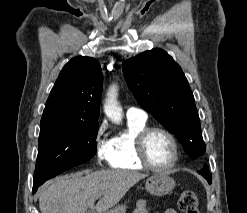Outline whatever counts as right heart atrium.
<instances>
[{
  "label": "right heart atrium",
  "mask_w": 247,
  "mask_h": 213,
  "mask_svg": "<svg viewBox=\"0 0 247 213\" xmlns=\"http://www.w3.org/2000/svg\"><path fill=\"white\" fill-rule=\"evenodd\" d=\"M106 130L107 124L102 122L98 126L94 137L95 154L98 161L102 163H110L111 160L110 141L105 138Z\"/></svg>",
  "instance_id": "obj_1"
}]
</instances>
